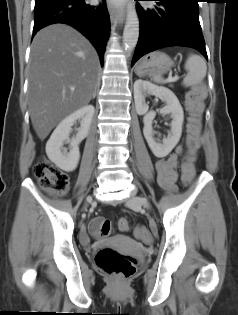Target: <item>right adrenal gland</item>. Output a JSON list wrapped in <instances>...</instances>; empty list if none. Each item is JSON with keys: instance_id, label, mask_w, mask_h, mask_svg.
Masks as SVG:
<instances>
[{"instance_id": "1", "label": "right adrenal gland", "mask_w": 238, "mask_h": 315, "mask_svg": "<svg viewBox=\"0 0 238 315\" xmlns=\"http://www.w3.org/2000/svg\"><path fill=\"white\" fill-rule=\"evenodd\" d=\"M95 96H96V89H95V91H94L93 98H95Z\"/></svg>"}]
</instances>
